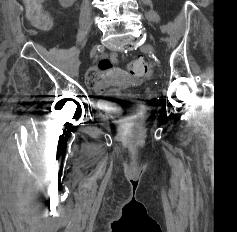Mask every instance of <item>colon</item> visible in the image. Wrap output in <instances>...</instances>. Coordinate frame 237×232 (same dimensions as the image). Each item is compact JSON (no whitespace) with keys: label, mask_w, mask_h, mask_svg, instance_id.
Masks as SVG:
<instances>
[{"label":"colon","mask_w":237,"mask_h":232,"mask_svg":"<svg viewBox=\"0 0 237 232\" xmlns=\"http://www.w3.org/2000/svg\"><path fill=\"white\" fill-rule=\"evenodd\" d=\"M26 6V17L31 26L47 30L51 27L52 19L43 8L44 0H23ZM114 68V63L109 59H101L98 62V70L107 72ZM130 74L135 78H143L149 72L148 63L142 58H136L128 66Z\"/></svg>","instance_id":"1"}]
</instances>
